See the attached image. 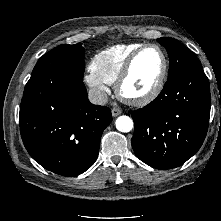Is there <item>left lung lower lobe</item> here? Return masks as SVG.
<instances>
[{"label": "left lung lower lobe", "mask_w": 221, "mask_h": 221, "mask_svg": "<svg viewBox=\"0 0 221 221\" xmlns=\"http://www.w3.org/2000/svg\"><path fill=\"white\" fill-rule=\"evenodd\" d=\"M210 107L209 80L202 68L166 82L154 101L131 112L136 156L156 169L182 165L205 139Z\"/></svg>", "instance_id": "1"}]
</instances>
